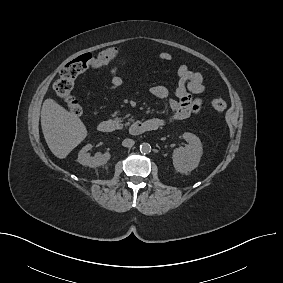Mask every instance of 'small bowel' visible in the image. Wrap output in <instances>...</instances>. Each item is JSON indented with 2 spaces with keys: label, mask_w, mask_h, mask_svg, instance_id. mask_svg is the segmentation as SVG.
<instances>
[{
  "label": "small bowel",
  "mask_w": 283,
  "mask_h": 283,
  "mask_svg": "<svg viewBox=\"0 0 283 283\" xmlns=\"http://www.w3.org/2000/svg\"><path fill=\"white\" fill-rule=\"evenodd\" d=\"M161 61H170L172 54L161 52L158 55ZM126 61V57L118 60L110 69L109 83L106 85L110 91L117 90L124 83V77L119 72V67ZM178 84L172 93L163 85H156L150 89V94L155 98L169 102L172 115L168 120L157 119L160 125L167 121H180L197 114L201 110L202 100L198 97L205 92L206 86L201 73L191 70L186 65L177 69Z\"/></svg>",
  "instance_id": "small-bowel-1"
}]
</instances>
